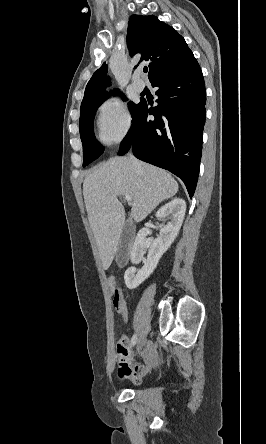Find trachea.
<instances>
[{
    "mask_svg": "<svg viewBox=\"0 0 266 444\" xmlns=\"http://www.w3.org/2000/svg\"><path fill=\"white\" fill-rule=\"evenodd\" d=\"M143 71H144V73H147L148 68H147V67H144Z\"/></svg>",
    "mask_w": 266,
    "mask_h": 444,
    "instance_id": "3493384b",
    "label": "trachea"
}]
</instances>
